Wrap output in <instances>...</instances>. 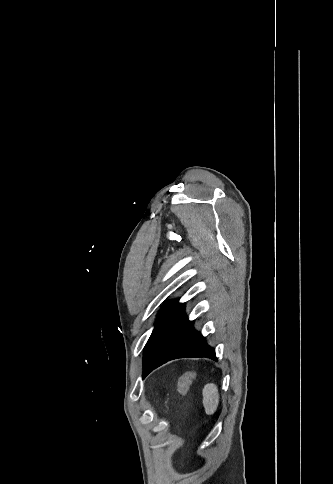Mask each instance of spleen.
I'll list each match as a JSON object with an SVG mask.
<instances>
[{
    "label": "spleen",
    "mask_w": 333,
    "mask_h": 484,
    "mask_svg": "<svg viewBox=\"0 0 333 484\" xmlns=\"http://www.w3.org/2000/svg\"><path fill=\"white\" fill-rule=\"evenodd\" d=\"M203 406L209 415H213L219 404V394L217 386L213 383L207 384L203 391Z\"/></svg>",
    "instance_id": "1"
}]
</instances>
